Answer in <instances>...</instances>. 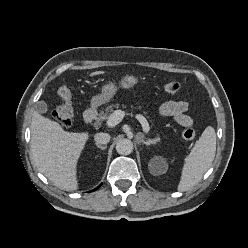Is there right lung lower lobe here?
I'll return each mask as SVG.
<instances>
[{"mask_svg": "<svg viewBox=\"0 0 248 248\" xmlns=\"http://www.w3.org/2000/svg\"><path fill=\"white\" fill-rule=\"evenodd\" d=\"M99 188V186L97 187V188H95L94 190H96V189H98Z\"/></svg>", "mask_w": 248, "mask_h": 248, "instance_id": "98d812e1", "label": "right lung lower lobe"}]
</instances>
